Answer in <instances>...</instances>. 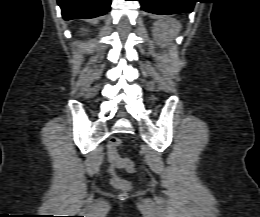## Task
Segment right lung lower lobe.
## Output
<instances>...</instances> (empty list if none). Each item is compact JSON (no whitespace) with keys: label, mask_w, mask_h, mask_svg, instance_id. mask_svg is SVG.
I'll list each match as a JSON object with an SVG mask.
<instances>
[{"label":"right lung lower lobe","mask_w":260,"mask_h":217,"mask_svg":"<svg viewBox=\"0 0 260 217\" xmlns=\"http://www.w3.org/2000/svg\"><path fill=\"white\" fill-rule=\"evenodd\" d=\"M65 20L94 18L110 11L111 0H57Z\"/></svg>","instance_id":"right-lung-lower-lobe-1"}]
</instances>
